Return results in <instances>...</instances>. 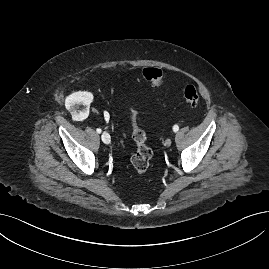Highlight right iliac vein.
<instances>
[{
	"label": "right iliac vein",
	"instance_id": "obj_1",
	"mask_svg": "<svg viewBox=\"0 0 269 269\" xmlns=\"http://www.w3.org/2000/svg\"><path fill=\"white\" fill-rule=\"evenodd\" d=\"M102 141L106 144H109L111 142V137L109 135V133L107 132H103L101 135Z\"/></svg>",
	"mask_w": 269,
	"mask_h": 269
}]
</instances>
